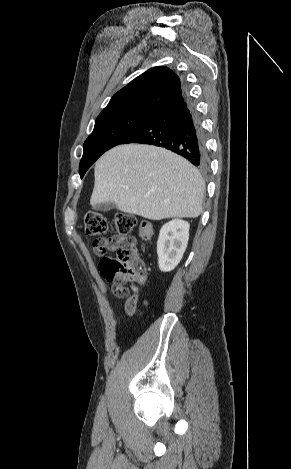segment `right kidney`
<instances>
[{"label": "right kidney", "mask_w": 291, "mask_h": 469, "mask_svg": "<svg viewBox=\"0 0 291 469\" xmlns=\"http://www.w3.org/2000/svg\"><path fill=\"white\" fill-rule=\"evenodd\" d=\"M188 222L174 219L164 224L157 241L159 269L172 271L181 261L189 240Z\"/></svg>", "instance_id": "1"}]
</instances>
